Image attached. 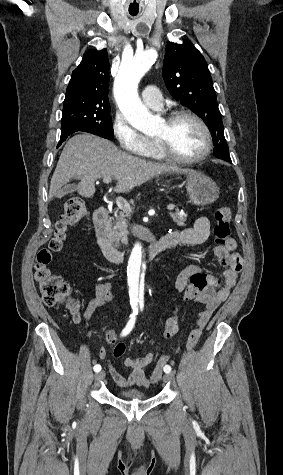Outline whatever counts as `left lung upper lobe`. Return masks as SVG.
<instances>
[{"instance_id":"5c2ea615","label":"left lung upper lobe","mask_w":283,"mask_h":475,"mask_svg":"<svg viewBox=\"0 0 283 475\" xmlns=\"http://www.w3.org/2000/svg\"><path fill=\"white\" fill-rule=\"evenodd\" d=\"M163 78L170 94L202 118L212 135L224 134L208 65L190 41L166 45Z\"/></svg>"}]
</instances>
